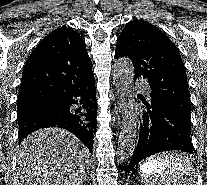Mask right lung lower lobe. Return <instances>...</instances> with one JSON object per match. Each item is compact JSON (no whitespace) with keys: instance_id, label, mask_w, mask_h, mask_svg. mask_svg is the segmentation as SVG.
Masks as SVG:
<instances>
[{"instance_id":"1","label":"right lung lower lobe","mask_w":207,"mask_h":185,"mask_svg":"<svg viewBox=\"0 0 207 185\" xmlns=\"http://www.w3.org/2000/svg\"><path fill=\"white\" fill-rule=\"evenodd\" d=\"M73 104L82 105L74 109ZM96 87L94 76L74 84L54 102L18 114L19 143L40 128L59 127L76 135L90 151L96 132Z\"/></svg>"}]
</instances>
